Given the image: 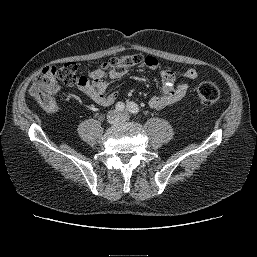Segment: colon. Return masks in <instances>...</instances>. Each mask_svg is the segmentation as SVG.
<instances>
[{"label":"colon","instance_id":"5ec220e1","mask_svg":"<svg viewBox=\"0 0 257 257\" xmlns=\"http://www.w3.org/2000/svg\"><path fill=\"white\" fill-rule=\"evenodd\" d=\"M143 62L144 58L140 54L111 58L101 65L100 78L103 80L110 72L124 74L130 67L143 64ZM94 72L96 71L89 68L86 74H81L75 62H67L60 67L47 66L36 76L29 90L30 95L43 109L54 112L58 109V103L54 98L57 82L60 81L68 86H82L93 80ZM196 95L200 102L206 105L214 104L220 98L218 87L207 81H203L197 86Z\"/></svg>","mask_w":257,"mask_h":257}]
</instances>
